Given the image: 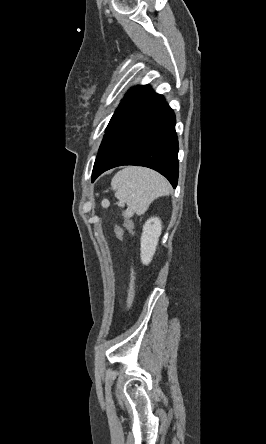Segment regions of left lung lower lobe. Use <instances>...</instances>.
I'll use <instances>...</instances> for the list:
<instances>
[{"mask_svg": "<svg viewBox=\"0 0 266 444\" xmlns=\"http://www.w3.org/2000/svg\"><path fill=\"white\" fill-rule=\"evenodd\" d=\"M175 115L165 99L148 91L111 118L97 154L92 181L121 165H138L178 181V139Z\"/></svg>", "mask_w": 266, "mask_h": 444, "instance_id": "left-lung-lower-lobe-1", "label": "left lung lower lobe"}]
</instances>
